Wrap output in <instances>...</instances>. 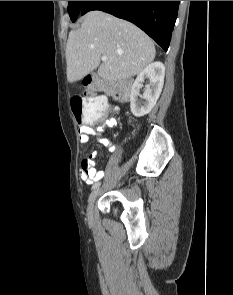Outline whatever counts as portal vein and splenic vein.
Here are the masks:
<instances>
[{
  "instance_id": "portal-vein-and-splenic-vein-1",
  "label": "portal vein and splenic vein",
  "mask_w": 233,
  "mask_h": 295,
  "mask_svg": "<svg viewBox=\"0 0 233 295\" xmlns=\"http://www.w3.org/2000/svg\"><path fill=\"white\" fill-rule=\"evenodd\" d=\"M101 59H102V61H106V60L108 59V57L105 56V55H103V56L101 57Z\"/></svg>"
}]
</instances>
